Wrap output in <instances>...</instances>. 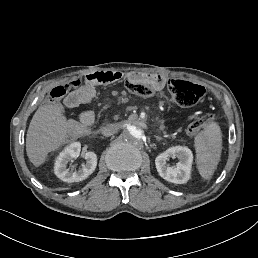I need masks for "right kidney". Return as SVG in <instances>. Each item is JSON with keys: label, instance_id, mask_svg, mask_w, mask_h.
<instances>
[{"label": "right kidney", "instance_id": "ca27d5eb", "mask_svg": "<svg viewBox=\"0 0 258 258\" xmlns=\"http://www.w3.org/2000/svg\"><path fill=\"white\" fill-rule=\"evenodd\" d=\"M81 143L73 142L69 146L65 147L59 156L56 158L54 165L55 175L65 182H79L85 180L91 175L97 166V156L94 152H86L84 157L86 164L82 166L78 171L74 169H68L67 164L74 158L80 155Z\"/></svg>", "mask_w": 258, "mask_h": 258}]
</instances>
